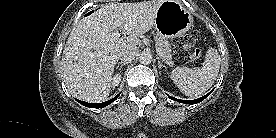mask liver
Masks as SVG:
<instances>
[{"label": "liver", "instance_id": "obj_1", "mask_svg": "<svg viewBox=\"0 0 276 138\" xmlns=\"http://www.w3.org/2000/svg\"><path fill=\"white\" fill-rule=\"evenodd\" d=\"M164 1L108 4L81 19L66 41L61 60L68 91L87 102L106 100L119 52L137 47L138 37L152 28ZM118 28L127 37L114 38Z\"/></svg>", "mask_w": 276, "mask_h": 138}]
</instances>
